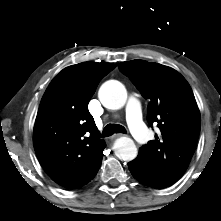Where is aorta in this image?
I'll list each match as a JSON object with an SVG mask.
<instances>
[{
  "label": "aorta",
  "instance_id": "obj_1",
  "mask_svg": "<svg viewBox=\"0 0 221 221\" xmlns=\"http://www.w3.org/2000/svg\"><path fill=\"white\" fill-rule=\"evenodd\" d=\"M98 97L105 108L117 110L125 105L127 91L121 82L109 80L101 85ZM113 150L115 155L123 161H132L138 154L134 141L128 137L117 139L113 146Z\"/></svg>",
  "mask_w": 221,
  "mask_h": 221
}]
</instances>
